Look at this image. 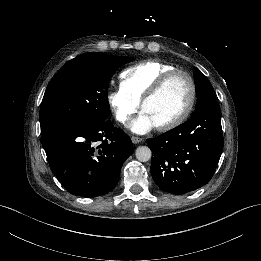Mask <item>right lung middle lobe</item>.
<instances>
[{
    "instance_id": "obj_1",
    "label": "right lung middle lobe",
    "mask_w": 261,
    "mask_h": 261,
    "mask_svg": "<svg viewBox=\"0 0 261 261\" xmlns=\"http://www.w3.org/2000/svg\"><path fill=\"white\" fill-rule=\"evenodd\" d=\"M131 57L90 52L68 61L49 82L41 106V134L65 122L106 120L110 79Z\"/></svg>"
}]
</instances>
